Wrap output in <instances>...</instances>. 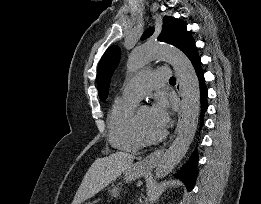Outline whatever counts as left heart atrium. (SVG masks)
<instances>
[{
	"label": "left heart atrium",
	"mask_w": 261,
	"mask_h": 204,
	"mask_svg": "<svg viewBox=\"0 0 261 204\" xmlns=\"http://www.w3.org/2000/svg\"><path fill=\"white\" fill-rule=\"evenodd\" d=\"M151 116L154 126L164 131L170 122L169 103L161 95L157 96L151 106Z\"/></svg>",
	"instance_id": "obj_1"
}]
</instances>
